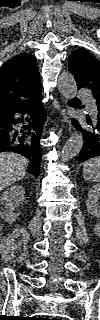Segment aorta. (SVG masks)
<instances>
[{
    "mask_svg": "<svg viewBox=\"0 0 100 320\" xmlns=\"http://www.w3.org/2000/svg\"><path fill=\"white\" fill-rule=\"evenodd\" d=\"M58 90L66 99L74 97L77 91V84L74 76L69 72H63L57 80ZM84 144V138L81 133L73 134L62 148L61 159L68 161L79 154Z\"/></svg>",
    "mask_w": 100,
    "mask_h": 320,
    "instance_id": "aorta-1",
    "label": "aorta"
}]
</instances>
